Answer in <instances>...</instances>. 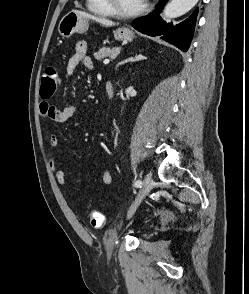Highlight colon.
I'll use <instances>...</instances> for the list:
<instances>
[{
  "mask_svg": "<svg viewBox=\"0 0 249 294\" xmlns=\"http://www.w3.org/2000/svg\"><path fill=\"white\" fill-rule=\"evenodd\" d=\"M60 84L58 72L55 67H48L41 78L40 97L44 100L50 99L57 91ZM90 224L93 228L101 229L106 224L105 216L100 212L89 214Z\"/></svg>",
  "mask_w": 249,
  "mask_h": 294,
  "instance_id": "colon-1",
  "label": "colon"
}]
</instances>
